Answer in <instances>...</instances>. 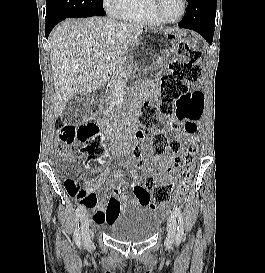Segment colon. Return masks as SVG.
<instances>
[{
	"label": "colon",
	"instance_id": "colon-1",
	"mask_svg": "<svg viewBox=\"0 0 265 273\" xmlns=\"http://www.w3.org/2000/svg\"><path fill=\"white\" fill-rule=\"evenodd\" d=\"M178 53L185 61L175 60L171 63L170 73L162 77L159 103H145L138 115L140 129L136 132L133 158L138 166L143 161L142 147L151 136L152 152L163 155L168 150L178 153L184 148V155L177 164L175 172L170 173L164 183L157 184L153 178L147 177L143 186L152 191L151 204H164L172 196L173 187L179 185L178 194L187 188V182L193 171L196 152L201 147V136L197 123L204 109V95L200 91H191L189 84L196 82L201 75L197 61L200 51L188 41L178 45ZM164 118L167 127L173 132H183L184 140L168 138L164 133ZM58 148L62 158H68L78 147L86 144L84 150L98 146L103 141V134L98 125L85 123L81 125L66 124L57 131ZM65 189L72 198L86 194L84 183L75 178L65 181ZM119 208L118 205H116Z\"/></svg>",
	"mask_w": 265,
	"mask_h": 273
}]
</instances>
